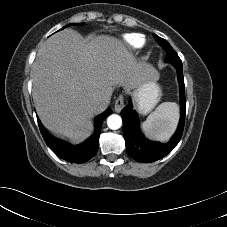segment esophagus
<instances>
[{
	"label": "esophagus",
	"instance_id": "34e87169",
	"mask_svg": "<svg viewBox=\"0 0 227 227\" xmlns=\"http://www.w3.org/2000/svg\"><path fill=\"white\" fill-rule=\"evenodd\" d=\"M124 107V96L119 95L114 102V110L115 112H120Z\"/></svg>",
	"mask_w": 227,
	"mask_h": 227
}]
</instances>
